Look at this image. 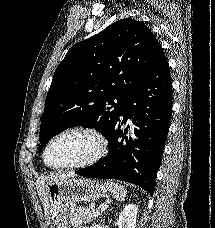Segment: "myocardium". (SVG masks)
<instances>
[{"label": "myocardium", "mask_w": 215, "mask_h": 228, "mask_svg": "<svg viewBox=\"0 0 215 228\" xmlns=\"http://www.w3.org/2000/svg\"><path fill=\"white\" fill-rule=\"evenodd\" d=\"M76 132L87 134L92 138L95 144V148L93 152L88 157L78 162H74L60 167H51L50 165H48V163L46 162V154L51 144L56 139L66 134L76 133ZM107 147H108L107 139L98 128L90 125H73L60 130L47 141L42 151V161H43V164L52 171H63L68 169L85 168L98 162L106 153Z\"/></svg>", "instance_id": "obj_1"}]
</instances>
